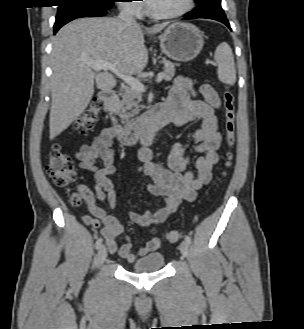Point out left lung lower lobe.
I'll return each instance as SVG.
<instances>
[{
	"label": "left lung lower lobe",
	"mask_w": 304,
	"mask_h": 329,
	"mask_svg": "<svg viewBox=\"0 0 304 329\" xmlns=\"http://www.w3.org/2000/svg\"><path fill=\"white\" fill-rule=\"evenodd\" d=\"M196 3L198 6L194 10L188 12L184 20L208 18L220 21L230 28L229 22L220 4L221 0H198Z\"/></svg>",
	"instance_id": "obj_1"
}]
</instances>
